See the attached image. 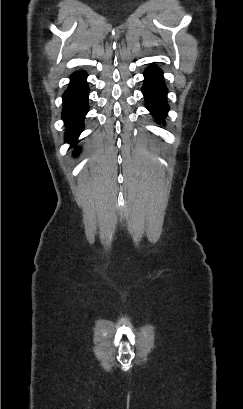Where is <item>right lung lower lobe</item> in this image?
<instances>
[{
	"label": "right lung lower lobe",
	"mask_w": 243,
	"mask_h": 409,
	"mask_svg": "<svg viewBox=\"0 0 243 409\" xmlns=\"http://www.w3.org/2000/svg\"><path fill=\"white\" fill-rule=\"evenodd\" d=\"M85 72H76L71 76L68 89L63 94L62 118L66 125L65 140L73 143L83 130V120L88 112L89 88ZM79 153V149L75 154Z\"/></svg>",
	"instance_id": "obj_1"
}]
</instances>
